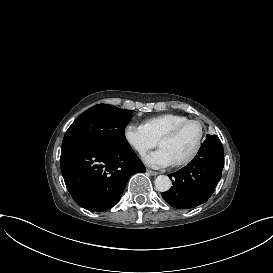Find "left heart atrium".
Masks as SVG:
<instances>
[{
  "mask_svg": "<svg viewBox=\"0 0 273 273\" xmlns=\"http://www.w3.org/2000/svg\"><path fill=\"white\" fill-rule=\"evenodd\" d=\"M143 160L148 166L153 168L166 167L174 164L168 151L162 147L147 154Z\"/></svg>",
  "mask_w": 273,
  "mask_h": 273,
  "instance_id": "1",
  "label": "left heart atrium"
}]
</instances>
